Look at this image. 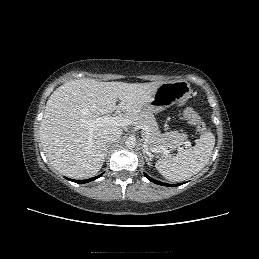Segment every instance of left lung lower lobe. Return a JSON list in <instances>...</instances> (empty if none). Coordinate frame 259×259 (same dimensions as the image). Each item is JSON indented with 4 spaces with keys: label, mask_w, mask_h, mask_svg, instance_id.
<instances>
[{
    "label": "left lung lower lobe",
    "mask_w": 259,
    "mask_h": 259,
    "mask_svg": "<svg viewBox=\"0 0 259 259\" xmlns=\"http://www.w3.org/2000/svg\"><path fill=\"white\" fill-rule=\"evenodd\" d=\"M144 175L146 176V178H147L149 181H151V182H153V183H155V184H158V185L170 186V187H172V186H178V185H172V184H166V183L159 182V181H157V180H155V179L149 177V176H148L147 174H145V173H144ZM179 185H180V184H179Z\"/></svg>",
    "instance_id": "0a47b994"
}]
</instances>
